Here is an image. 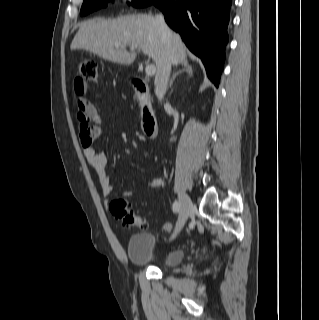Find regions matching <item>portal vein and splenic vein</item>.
Returning <instances> with one entry per match:
<instances>
[{"label": "portal vein and splenic vein", "mask_w": 319, "mask_h": 320, "mask_svg": "<svg viewBox=\"0 0 319 320\" xmlns=\"http://www.w3.org/2000/svg\"><path fill=\"white\" fill-rule=\"evenodd\" d=\"M116 47L118 48L119 46L116 45ZM131 50H133L134 48L131 47ZM145 72L147 76H153L156 72V67L153 64L147 65L145 68Z\"/></svg>", "instance_id": "1"}]
</instances>
